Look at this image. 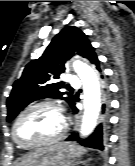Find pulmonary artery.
<instances>
[{
  "label": "pulmonary artery",
  "instance_id": "e3ab8cb5",
  "mask_svg": "<svg viewBox=\"0 0 135 166\" xmlns=\"http://www.w3.org/2000/svg\"><path fill=\"white\" fill-rule=\"evenodd\" d=\"M68 82L71 86H78L80 84L79 79L73 75L68 76Z\"/></svg>",
  "mask_w": 135,
  "mask_h": 166
}]
</instances>
